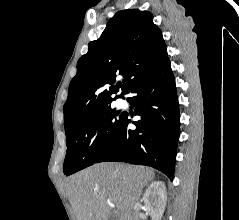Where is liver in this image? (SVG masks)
I'll list each match as a JSON object with an SVG mask.
<instances>
[{"mask_svg":"<svg viewBox=\"0 0 239 220\" xmlns=\"http://www.w3.org/2000/svg\"><path fill=\"white\" fill-rule=\"evenodd\" d=\"M153 177V170L143 166L99 163L71 176L65 190L76 220H109L111 203L119 220H129L143 187Z\"/></svg>","mask_w":239,"mask_h":220,"instance_id":"1","label":"liver"}]
</instances>
